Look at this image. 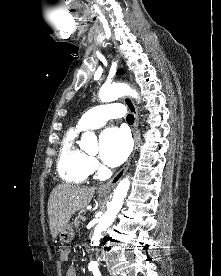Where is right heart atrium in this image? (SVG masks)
I'll list each match as a JSON object with an SVG mask.
<instances>
[{"mask_svg":"<svg viewBox=\"0 0 221 276\" xmlns=\"http://www.w3.org/2000/svg\"><path fill=\"white\" fill-rule=\"evenodd\" d=\"M88 163H89V168L91 172L95 171L98 168V162L95 158L89 157Z\"/></svg>","mask_w":221,"mask_h":276,"instance_id":"1","label":"right heart atrium"}]
</instances>
